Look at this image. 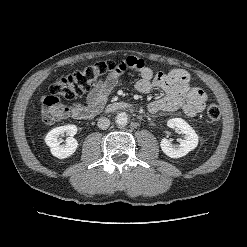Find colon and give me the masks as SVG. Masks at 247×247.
I'll list each match as a JSON object with an SVG mask.
<instances>
[{"instance_id": "5ec220e1", "label": "colon", "mask_w": 247, "mask_h": 247, "mask_svg": "<svg viewBox=\"0 0 247 247\" xmlns=\"http://www.w3.org/2000/svg\"><path fill=\"white\" fill-rule=\"evenodd\" d=\"M129 66L126 59L121 61H100L74 73L61 77L51 86L50 93L41 98V116L49 124L59 122L67 117L69 108L58 96L67 99L82 96L96 84L102 82L107 74L124 71ZM221 117L217 105H210L206 110L209 124L215 125Z\"/></svg>"}]
</instances>
